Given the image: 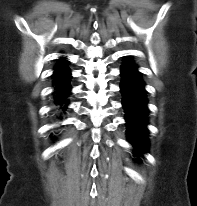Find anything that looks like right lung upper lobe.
<instances>
[{
	"instance_id": "obj_1",
	"label": "right lung upper lobe",
	"mask_w": 197,
	"mask_h": 206,
	"mask_svg": "<svg viewBox=\"0 0 197 206\" xmlns=\"http://www.w3.org/2000/svg\"><path fill=\"white\" fill-rule=\"evenodd\" d=\"M66 62H67V60H65V59H58V66L55 68V72L56 71H58V70H60L62 67H64L65 66V64H66Z\"/></svg>"
}]
</instances>
